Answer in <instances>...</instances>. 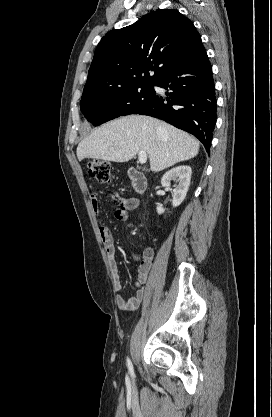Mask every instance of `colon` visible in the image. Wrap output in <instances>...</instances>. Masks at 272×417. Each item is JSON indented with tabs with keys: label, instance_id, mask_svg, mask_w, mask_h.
<instances>
[{
	"label": "colon",
	"instance_id": "colon-1",
	"mask_svg": "<svg viewBox=\"0 0 272 417\" xmlns=\"http://www.w3.org/2000/svg\"><path fill=\"white\" fill-rule=\"evenodd\" d=\"M88 172L97 182L107 184L111 181V167L103 160H92L87 164Z\"/></svg>",
	"mask_w": 272,
	"mask_h": 417
}]
</instances>
